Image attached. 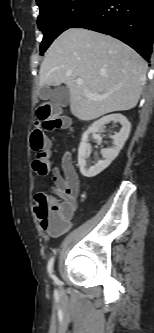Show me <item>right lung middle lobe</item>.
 Returning a JSON list of instances; mask_svg holds the SVG:
<instances>
[{"label": "right lung middle lobe", "mask_w": 154, "mask_h": 333, "mask_svg": "<svg viewBox=\"0 0 154 333\" xmlns=\"http://www.w3.org/2000/svg\"><path fill=\"white\" fill-rule=\"evenodd\" d=\"M101 0H39L38 28L44 37L40 45L42 55L63 31L89 14Z\"/></svg>", "instance_id": "1"}]
</instances>
